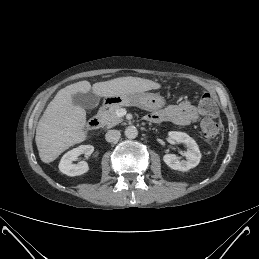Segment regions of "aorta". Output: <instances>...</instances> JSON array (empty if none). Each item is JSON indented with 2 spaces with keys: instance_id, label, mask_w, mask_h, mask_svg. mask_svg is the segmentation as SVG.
I'll use <instances>...</instances> for the list:
<instances>
[{
  "instance_id": "762f6f07",
  "label": "aorta",
  "mask_w": 259,
  "mask_h": 259,
  "mask_svg": "<svg viewBox=\"0 0 259 259\" xmlns=\"http://www.w3.org/2000/svg\"><path fill=\"white\" fill-rule=\"evenodd\" d=\"M125 136L128 138V139H134L138 136V130L135 126H128L126 129H125Z\"/></svg>"
}]
</instances>
